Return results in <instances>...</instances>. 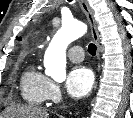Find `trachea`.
<instances>
[{"label":"trachea","instance_id":"trachea-1","mask_svg":"<svg viewBox=\"0 0 133 118\" xmlns=\"http://www.w3.org/2000/svg\"><path fill=\"white\" fill-rule=\"evenodd\" d=\"M97 47L95 44L90 43L88 46V52L90 55L94 56L96 54Z\"/></svg>","mask_w":133,"mask_h":118}]
</instances>
